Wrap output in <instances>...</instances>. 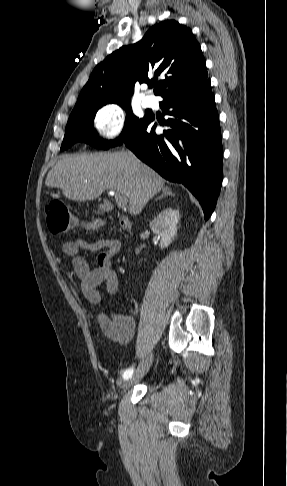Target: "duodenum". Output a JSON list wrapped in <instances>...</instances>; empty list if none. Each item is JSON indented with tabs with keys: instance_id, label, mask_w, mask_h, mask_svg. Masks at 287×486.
<instances>
[{
	"instance_id": "obj_1",
	"label": "duodenum",
	"mask_w": 287,
	"mask_h": 486,
	"mask_svg": "<svg viewBox=\"0 0 287 486\" xmlns=\"http://www.w3.org/2000/svg\"><path fill=\"white\" fill-rule=\"evenodd\" d=\"M119 223L122 229L129 231L132 227V223L130 219L126 216H121L119 219Z\"/></svg>"
}]
</instances>
